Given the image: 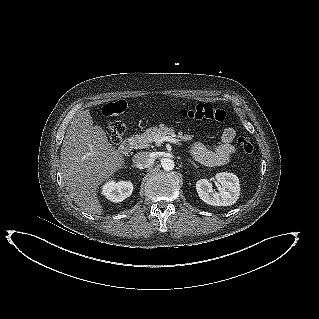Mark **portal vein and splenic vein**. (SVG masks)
Masks as SVG:
<instances>
[{
	"mask_svg": "<svg viewBox=\"0 0 319 319\" xmlns=\"http://www.w3.org/2000/svg\"><path fill=\"white\" fill-rule=\"evenodd\" d=\"M154 141L160 145L162 142L167 141V142H171V143H178V140L176 138H174L173 136H160V135H156L154 138Z\"/></svg>",
	"mask_w": 319,
	"mask_h": 319,
	"instance_id": "18ae733b",
	"label": "portal vein and splenic vein"
}]
</instances>
